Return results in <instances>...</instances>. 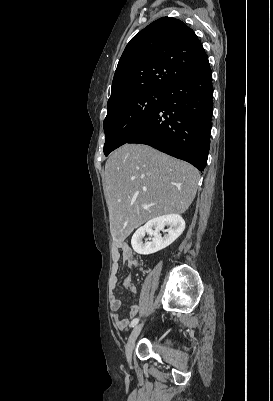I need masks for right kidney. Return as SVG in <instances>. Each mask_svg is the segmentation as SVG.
<instances>
[{
  "label": "right kidney",
  "instance_id": "obj_1",
  "mask_svg": "<svg viewBox=\"0 0 273 401\" xmlns=\"http://www.w3.org/2000/svg\"><path fill=\"white\" fill-rule=\"evenodd\" d=\"M168 225V235L161 237L160 231H164V227ZM155 229V231H153ZM185 229V221L180 215H163V217H157V219H151L144 227L137 229L131 239L132 249L138 255H152L157 253L161 249H165L171 243H174L180 235H182ZM150 235L153 237L152 241L143 243L142 239L144 235Z\"/></svg>",
  "mask_w": 273,
  "mask_h": 401
}]
</instances>
